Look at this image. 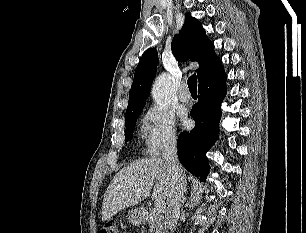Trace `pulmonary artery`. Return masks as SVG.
<instances>
[{"instance_id": "e3ab8cb5", "label": "pulmonary artery", "mask_w": 306, "mask_h": 233, "mask_svg": "<svg viewBox=\"0 0 306 233\" xmlns=\"http://www.w3.org/2000/svg\"><path fill=\"white\" fill-rule=\"evenodd\" d=\"M178 98L180 101L182 102H189L190 99H191V95L190 93L188 92V89H187V85L186 84H183L180 88V90L178 91Z\"/></svg>"}]
</instances>
